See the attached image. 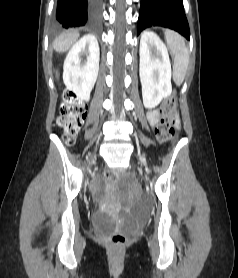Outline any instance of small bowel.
Instances as JSON below:
<instances>
[{"label":"small bowel","mask_w":238,"mask_h":278,"mask_svg":"<svg viewBox=\"0 0 238 278\" xmlns=\"http://www.w3.org/2000/svg\"><path fill=\"white\" fill-rule=\"evenodd\" d=\"M148 119L151 124H153V125L156 124L159 119V113L156 110L149 112Z\"/></svg>","instance_id":"obj_1"}]
</instances>
